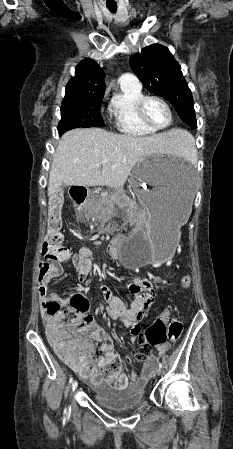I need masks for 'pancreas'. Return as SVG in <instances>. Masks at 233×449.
<instances>
[{
	"label": "pancreas",
	"mask_w": 233,
	"mask_h": 449,
	"mask_svg": "<svg viewBox=\"0 0 233 449\" xmlns=\"http://www.w3.org/2000/svg\"><path fill=\"white\" fill-rule=\"evenodd\" d=\"M111 196L101 197V207L105 214L112 215L113 214V203L110 200ZM146 218V215L139 211L138 209H134L132 213V219L135 222H141L144 221Z\"/></svg>",
	"instance_id": "1"
}]
</instances>
